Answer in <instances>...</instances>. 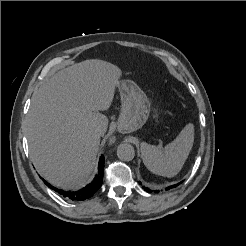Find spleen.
I'll return each mask as SVG.
<instances>
[{
    "mask_svg": "<svg viewBox=\"0 0 246 246\" xmlns=\"http://www.w3.org/2000/svg\"><path fill=\"white\" fill-rule=\"evenodd\" d=\"M194 125L187 124L174 141L165 146L164 151L157 147L141 143V155L144 165L152 173L174 177L182 169L188 155L193 147Z\"/></svg>",
    "mask_w": 246,
    "mask_h": 246,
    "instance_id": "spleen-1",
    "label": "spleen"
}]
</instances>
